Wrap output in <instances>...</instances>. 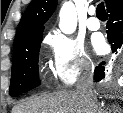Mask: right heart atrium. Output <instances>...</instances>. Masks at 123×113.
I'll use <instances>...</instances> for the list:
<instances>
[{
    "label": "right heart atrium",
    "instance_id": "right-heart-atrium-1",
    "mask_svg": "<svg viewBox=\"0 0 123 113\" xmlns=\"http://www.w3.org/2000/svg\"><path fill=\"white\" fill-rule=\"evenodd\" d=\"M48 45L53 74L60 85L70 86L82 73L92 69L93 62L78 40L56 32L50 35Z\"/></svg>",
    "mask_w": 123,
    "mask_h": 113
}]
</instances>
